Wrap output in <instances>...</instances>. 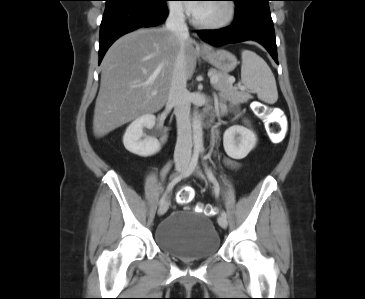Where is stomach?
Returning <instances> with one entry per match:
<instances>
[{
    "label": "stomach",
    "mask_w": 365,
    "mask_h": 299,
    "mask_svg": "<svg viewBox=\"0 0 365 299\" xmlns=\"http://www.w3.org/2000/svg\"><path fill=\"white\" fill-rule=\"evenodd\" d=\"M202 57L223 73L233 71L237 66L235 55L223 49L203 52Z\"/></svg>",
    "instance_id": "0dacf381"
}]
</instances>
